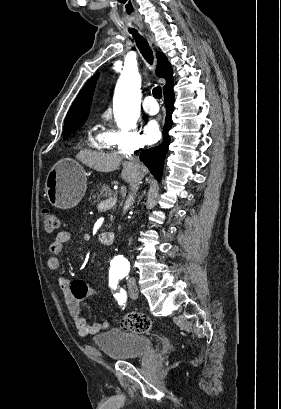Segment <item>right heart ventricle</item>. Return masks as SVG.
Here are the masks:
<instances>
[{"label":"right heart ventricle","instance_id":"obj_1","mask_svg":"<svg viewBox=\"0 0 281 409\" xmlns=\"http://www.w3.org/2000/svg\"><path fill=\"white\" fill-rule=\"evenodd\" d=\"M92 147L99 153H105L112 149L108 138V131L103 127L96 126L92 131Z\"/></svg>","mask_w":281,"mask_h":409}]
</instances>
